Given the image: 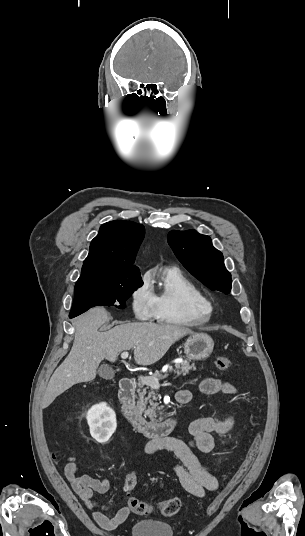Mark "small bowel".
Segmentation results:
<instances>
[{
  "mask_svg": "<svg viewBox=\"0 0 305 536\" xmlns=\"http://www.w3.org/2000/svg\"><path fill=\"white\" fill-rule=\"evenodd\" d=\"M200 391L204 394L225 393L236 394V388L219 378H205L200 384ZM192 392L182 390L177 393V399L187 403L192 399ZM230 426L229 421L216 420L210 417H201L193 420L188 427L191 440L185 441L176 437H167L150 441L146 447V453L152 455L157 451L172 452L180 463H174L172 470L179 479L182 487L191 495L203 498L207 492L218 488V480L213 467L202 461L197 452L211 453L215 448L214 433H225ZM64 474L73 491L92 512L96 523L104 530H114L122 524L132 512L129 504L122 506L109 518L104 511L107 506L99 503L95 493L105 494L109 491L111 483L108 478L97 479L89 475H80L78 466L74 461H69L64 467ZM126 492V490H124Z\"/></svg>",
  "mask_w": 305,
  "mask_h": 536,
  "instance_id": "small-bowel-1",
  "label": "small bowel"
}]
</instances>
